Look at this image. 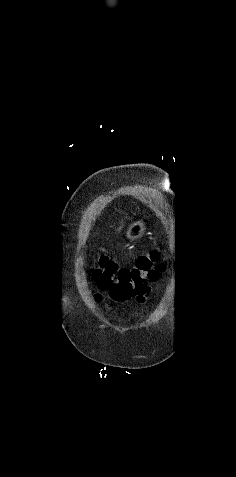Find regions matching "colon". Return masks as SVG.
Here are the masks:
<instances>
[{"instance_id":"5ec220e1","label":"colon","mask_w":236,"mask_h":477,"mask_svg":"<svg viewBox=\"0 0 236 477\" xmlns=\"http://www.w3.org/2000/svg\"><path fill=\"white\" fill-rule=\"evenodd\" d=\"M158 258V253L151 251L141 256L133 267H120L113 261L100 258L92 277L99 288L108 291L116 301H142L148 294L149 283L156 280L164 268L162 263H158Z\"/></svg>"}]
</instances>
